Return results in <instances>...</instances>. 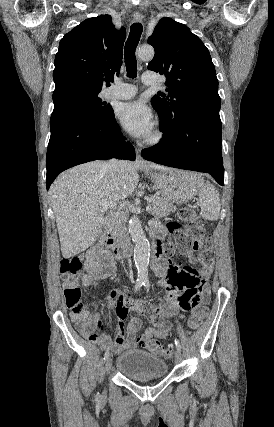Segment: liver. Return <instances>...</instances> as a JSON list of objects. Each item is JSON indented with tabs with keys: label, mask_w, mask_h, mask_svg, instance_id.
Returning a JSON list of instances; mask_svg holds the SVG:
<instances>
[{
	"label": "liver",
	"mask_w": 274,
	"mask_h": 427,
	"mask_svg": "<svg viewBox=\"0 0 274 427\" xmlns=\"http://www.w3.org/2000/svg\"><path fill=\"white\" fill-rule=\"evenodd\" d=\"M119 164L120 172L109 170L106 162L99 160L81 164L60 174L50 186L63 257H72L92 245L104 223V204H120L135 192L139 182L136 166ZM149 168L170 170L157 164Z\"/></svg>",
	"instance_id": "obj_1"
}]
</instances>
